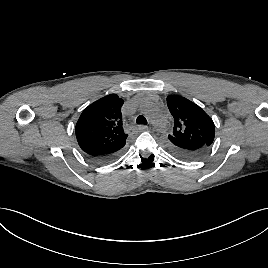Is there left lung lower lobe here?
Returning a JSON list of instances; mask_svg holds the SVG:
<instances>
[{"instance_id": "left-lung-lower-lobe-1", "label": "left lung lower lobe", "mask_w": 268, "mask_h": 268, "mask_svg": "<svg viewBox=\"0 0 268 268\" xmlns=\"http://www.w3.org/2000/svg\"><path fill=\"white\" fill-rule=\"evenodd\" d=\"M167 150L178 159L196 161L203 158L210 149L200 141L165 140Z\"/></svg>"}]
</instances>
